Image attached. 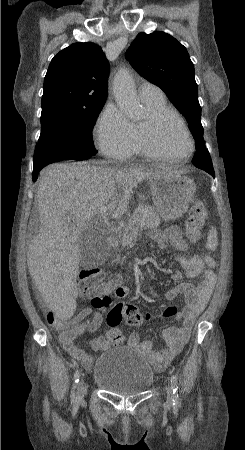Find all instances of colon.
I'll return each mask as SVG.
<instances>
[{
    "mask_svg": "<svg viewBox=\"0 0 245 450\" xmlns=\"http://www.w3.org/2000/svg\"><path fill=\"white\" fill-rule=\"evenodd\" d=\"M208 216V210L205 204L198 198H193L190 202L188 217L184 224L185 235L190 243H197L201 239V230ZM204 260L210 268H215L216 262L211 256L205 255ZM81 287L84 291H93L96 296L93 301V307L104 310L107 323L112 329L108 332V337L113 343H120L123 340L122 334L115 327L124 321L130 327H141L144 323L139 310L130 303H110L108 294L113 290L114 283L106 280L103 270L97 267H90L80 274ZM99 294L106 295L99 297ZM177 309L174 306H167L153 314L152 318L163 316H174ZM151 316H148L150 318ZM48 323L55 329L63 331L65 339L75 337L79 332V325L68 320L53 315Z\"/></svg>",
    "mask_w": 245,
    "mask_h": 450,
    "instance_id": "colon-1",
    "label": "colon"
}]
</instances>
